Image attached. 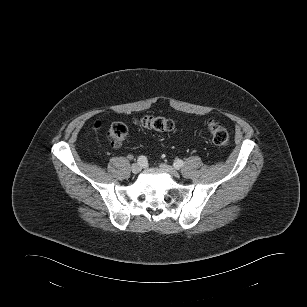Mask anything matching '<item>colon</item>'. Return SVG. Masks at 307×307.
Segmentation results:
<instances>
[{"label":"colon","instance_id":"5ec220e1","mask_svg":"<svg viewBox=\"0 0 307 307\" xmlns=\"http://www.w3.org/2000/svg\"><path fill=\"white\" fill-rule=\"evenodd\" d=\"M138 123L150 130L157 132H170L175 128L173 120L161 116L146 115ZM207 129L215 145L225 147L229 143V133L221 124L210 120L207 122ZM128 133L127 126L122 122L111 125L107 132V139L113 147H119L125 140Z\"/></svg>","mask_w":307,"mask_h":307}]
</instances>
